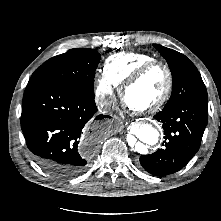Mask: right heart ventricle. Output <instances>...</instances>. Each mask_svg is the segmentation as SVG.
<instances>
[{
	"mask_svg": "<svg viewBox=\"0 0 221 221\" xmlns=\"http://www.w3.org/2000/svg\"><path fill=\"white\" fill-rule=\"evenodd\" d=\"M155 59L153 55L143 52L117 53L106 59L104 73L119 86L141 65Z\"/></svg>",
	"mask_w": 221,
	"mask_h": 221,
	"instance_id": "right-heart-ventricle-1",
	"label": "right heart ventricle"
}]
</instances>
